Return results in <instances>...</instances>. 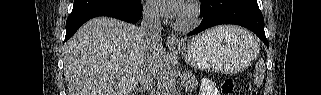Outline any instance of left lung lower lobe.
Segmentation results:
<instances>
[{
	"mask_svg": "<svg viewBox=\"0 0 321 95\" xmlns=\"http://www.w3.org/2000/svg\"><path fill=\"white\" fill-rule=\"evenodd\" d=\"M200 12L203 20L188 36L215 25L236 24L253 31L269 47L257 0H201Z\"/></svg>",
	"mask_w": 321,
	"mask_h": 95,
	"instance_id": "obj_1",
	"label": "left lung lower lobe"
}]
</instances>
